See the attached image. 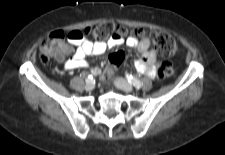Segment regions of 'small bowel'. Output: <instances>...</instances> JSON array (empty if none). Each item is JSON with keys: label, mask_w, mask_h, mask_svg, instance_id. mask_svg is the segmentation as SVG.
<instances>
[{"label": "small bowel", "mask_w": 225, "mask_h": 155, "mask_svg": "<svg viewBox=\"0 0 225 155\" xmlns=\"http://www.w3.org/2000/svg\"><path fill=\"white\" fill-rule=\"evenodd\" d=\"M70 43L75 44L72 57L66 61L65 68L68 70L86 68L88 63L86 56L102 54L122 43L138 51L139 58L135 61L136 69L147 77L153 78L156 71L153 62L157 59V52L150 46V40L146 37L138 38L130 35L126 39L111 37L107 41H90L82 30L72 29L67 34ZM92 73L98 74L100 69L96 66L91 68Z\"/></svg>", "instance_id": "obj_1"}]
</instances>
